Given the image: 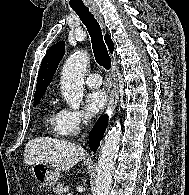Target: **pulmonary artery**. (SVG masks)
Segmentation results:
<instances>
[{
  "label": "pulmonary artery",
  "instance_id": "1",
  "mask_svg": "<svg viewBox=\"0 0 189 195\" xmlns=\"http://www.w3.org/2000/svg\"><path fill=\"white\" fill-rule=\"evenodd\" d=\"M85 82L91 88H98L102 84V79L98 73H89L85 77Z\"/></svg>",
  "mask_w": 189,
  "mask_h": 195
}]
</instances>
